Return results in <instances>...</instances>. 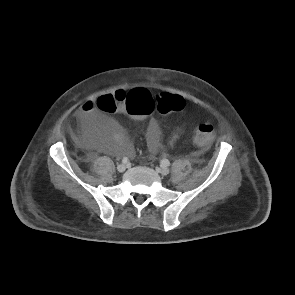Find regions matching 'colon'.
<instances>
[{"label": "colon", "mask_w": 295, "mask_h": 295, "mask_svg": "<svg viewBox=\"0 0 295 295\" xmlns=\"http://www.w3.org/2000/svg\"><path fill=\"white\" fill-rule=\"evenodd\" d=\"M96 106L104 112L126 111L129 122L140 128L150 122L151 113L156 109L161 113L179 111L184 108L185 101L178 95H153L146 90L136 89L129 93L118 91L113 95L102 96ZM213 137L214 127L210 123H201L196 128L193 141L199 146H207Z\"/></svg>", "instance_id": "1"}]
</instances>
